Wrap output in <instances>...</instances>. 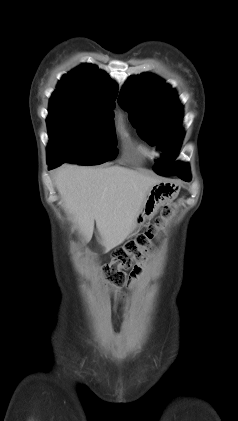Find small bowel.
Returning a JSON list of instances; mask_svg holds the SVG:
<instances>
[{
	"mask_svg": "<svg viewBox=\"0 0 238 421\" xmlns=\"http://www.w3.org/2000/svg\"><path fill=\"white\" fill-rule=\"evenodd\" d=\"M141 270L140 268L136 269L133 273H132V279H136L138 277V275L140 274Z\"/></svg>",
	"mask_w": 238,
	"mask_h": 421,
	"instance_id": "c3829d8e",
	"label": "small bowel"
}]
</instances>
